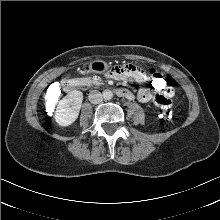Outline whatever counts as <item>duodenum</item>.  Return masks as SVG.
Instances as JSON below:
<instances>
[{
    "label": "duodenum",
    "mask_w": 220,
    "mask_h": 220,
    "mask_svg": "<svg viewBox=\"0 0 220 220\" xmlns=\"http://www.w3.org/2000/svg\"><path fill=\"white\" fill-rule=\"evenodd\" d=\"M79 87V84L77 83V81L75 80H68L65 82L64 84V88L66 91L70 92V91H74ZM116 94L120 97H125L128 98L129 96V92L128 90L125 89H117L116 90Z\"/></svg>",
    "instance_id": "duodenum-1"
}]
</instances>
